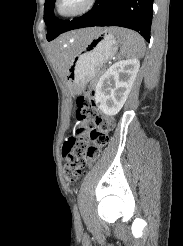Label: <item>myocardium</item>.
<instances>
[{"label":"myocardium","mask_w":183,"mask_h":246,"mask_svg":"<svg viewBox=\"0 0 183 246\" xmlns=\"http://www.w3.org/2000/svg\"><path fill=\"white\" fill-rule=\"evenodd\" d=\"M69 0H56L54 4V12L61 18H72L82 15L89 11L96 0H78L73 7H67L66 4Z\"/></svg>","instance_id":"1"}]
</instances>
